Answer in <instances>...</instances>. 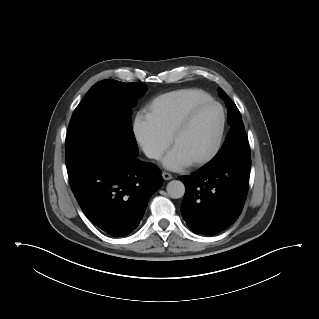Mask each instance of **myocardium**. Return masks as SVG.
<instances>
[{
    "instance_id": "obj_1",
    "label": "myocardium",
    "mask_w": 319,
    "mask_h": 319,
    "mask_svg": "<svg viewBox=\"0 0 319 319\" xmlns=\"http://www.w3.org/2000/svg\"><path fill=\"white\" fill-rule=\"evenodd\" d=\"M209 105H214L217 106L220 110V115H221V122H220V128H219V133L217 137V141L215 144L214 149L212 150L211 153H209L207 156L194 160L190 162L191 166H202L205 164H208L209 162L213 161L218 154L220 153L222 146H223V141H224V135H225V129H226V111L223 105L215 100V99H209L203 102H200L194 106H192L184 118L179 122V124L174 128L172 131L170 137H169V144L171 147H173L174 142L176 139L181 136L184 132L188 130V128L191 126L196 114L203 109L206 106Z\"/></svg>"
}]
</instances>
